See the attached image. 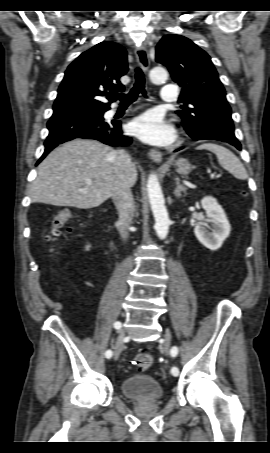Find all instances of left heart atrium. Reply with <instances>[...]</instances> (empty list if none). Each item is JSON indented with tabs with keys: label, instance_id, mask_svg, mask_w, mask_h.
I'll use <instances>...</instances> for the list:
<instances>
[{
	"label": "left heart atrium",
	"instance_id": "obj_1",
	"mask_svg": "<svg viewBox=\"0 0 270 453\" xmlns=\"http://www.w3.org/2000/svg\"><path fill=\"white\" fill-rule=\"evenodd\" d=\"M130 131L141 140L153 144H169L174 138L172 126L157 113L136 118L130 124Z\"/></svg>",
	"mask_w": 270,
	"mask_h": 453
}]
</instances>
